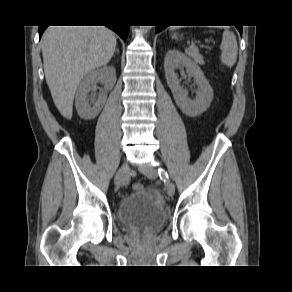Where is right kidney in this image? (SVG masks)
<instances>
[{"label":"right kidney","instance_id":"1","mask_svg":"<svg viewBox=\"0 0 292 292\" xmlns=\"http://www.w3.org/2000/svg\"><path fill=\"white\" fill-rule=\"evenodd\" d=\"M100 80L104 81L105 91L99 94L98 99L91 97L89 103L88 93ZM115 82L116 71L113 66H104L90 71L82 79L76 92L75 106L78 115L85 120L94 119L99 114L106 101L107 91L114 86Z\"/></svg>","mask_w":292,"mask_h":292}]
</instances>
